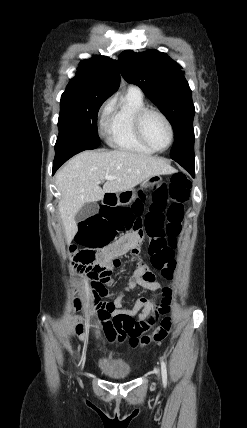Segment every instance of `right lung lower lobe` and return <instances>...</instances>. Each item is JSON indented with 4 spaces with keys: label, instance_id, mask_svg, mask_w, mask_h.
Here are the masks:
<instances>
[{
    "label": "right lung lower lobe",
    "instance_id": "98d812e1",
    "mask_svg": "<svg viewBox=\"0 0 247 428\" xmlns=\"http://www.w3.org/2000/svg\"><path fill=\"white\" fill-rule=\"evenodd\" d=\"M79 152H81V150L57 151L53 162V174L63 163Z\"/></svg>",
    "mask_w": 247,
    "mask_h": 428
}]
</instances>
